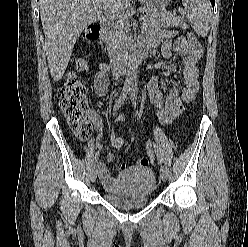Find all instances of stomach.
Wrapping results in <instances>:
<instances>
[{"mask_svg": "<svg viewBox=\"0 0 248 247\" xmlns=\"http://www.w3.org/2000/svg\"><path fill=\"white\" fill-rule=\"evenodd\" d=\"M148 9H162L166 7L171 0H140Z\"/></svg>", "mask_w": 248, "mask_h": 247, "instance_id": "1", "label": "stomach"}]
</instances>
